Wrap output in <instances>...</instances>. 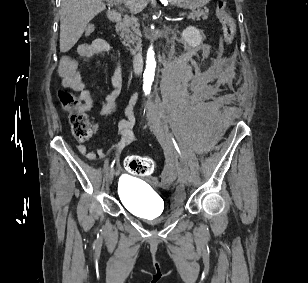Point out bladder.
I'll return each instance as SVG.
<instances>
[{"label":"bladder","instance_id":"31cf9c89","mask_svg":"<svg viewBox=\"0 0 308 283\" xmlns=\"http://www.w3.org/2000/svg\"><path fill=\"white\" fill-rule=\"evenodd\" d=\"M117 191L122 204L135 215L155 218L162 214L163 207L156 195L143 182L122 176Z\"/></svg>","mask_w":308,"mask_h":283}]
</instances>
